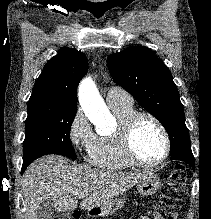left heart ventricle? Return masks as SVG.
<instances>
[{"label": "left heart ventricle", "instance_id": "left-heart-ventricle-1", "mask_svg": "<svg viewBox=\"0 0 211 219\" xmlns=\"http://www.w3.org/2000/svg\"><path fill=\"white\" fill-rule=\"evenodd\" d=\"M134 148L145 162H155L164 152V139L157 125L150 119H141L134 132Z\"/></svg>", "mask_w": 211, "mask_h": 219}]
</instances>
